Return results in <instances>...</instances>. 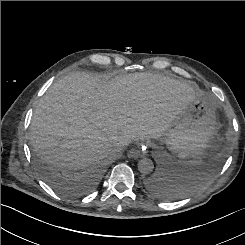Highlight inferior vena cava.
<instances>
[{
	"mask_svg": "<svg viewBox=\"0 0 245 245\" xmlns=\"http://www.w3.org/2000/svg\"><path fill=\"white\" fill-rule=\"evenodd\" d=\"M128 141L126 140H121V141H118L116 142L115 144H113L111 146V150L114 152V153H117V152H122L125 148V146L128 145Z\"/></svg>",
	"mask_w": 245,
	"mask_h": 245,
	"instance_id": "602c4592",
	"label": "inferior vena cava"
}]
</instances>
